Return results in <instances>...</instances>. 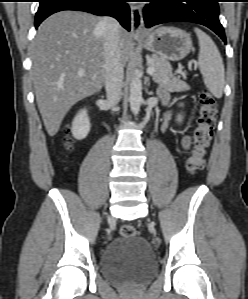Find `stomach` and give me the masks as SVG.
I'll use <instances>...</instances> for the list:
<instances>
[{"label":"stomach","instance_id":"1","mask_svg":"<svg viewBox=\"0 0 248 299\" xmlns=\"http://www.w3.org/2000/svg\"><path fill=\"white\" fill-rule=\"evenodd\" d=\"M142 43L147 50L170 61H179L192 50L189 33L176 27H159L150 32Z\"/></svg>","mask_w":248,"mask_h":299}]
</instances>
